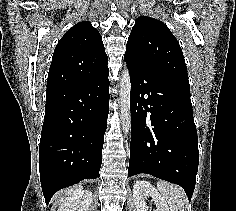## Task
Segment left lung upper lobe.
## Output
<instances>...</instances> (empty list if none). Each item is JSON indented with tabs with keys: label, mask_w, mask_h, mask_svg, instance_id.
Returning <instances> with one entry per match:
<instances>
[{
	"label": "left lung upper lobe",
	"mask_w": 236,
	"mask_h": 211,
	"mask_svg": "<svg viewBox=\"0 0 236 211\" xmlns=\"http://www.w3.org/2000/svg\"><path fill=\"white\" fill-rule=\"evenodd\" d=\"M126 62L190 89L187 67L180 45L169 28L159 20L141 16L130 33Z\"/></svg>",
	"instance_id": "5c2ea615"
}]
</instances>
